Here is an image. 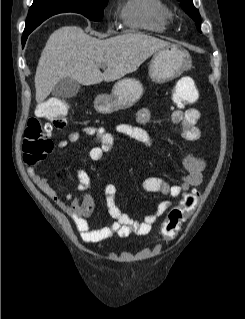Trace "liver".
I'll use <instances>...</instances> for the list:
<instances>
[{
    "instance_id": "liver-1",
    "label": "liver",
    "mask_w": 245,
    "mask_h": 319,
    "mask_svg": "<svg viewBox=\"0 0 245 319\" xmlns=\"http://www.w3.org/2000/svg\"><path fill=\"white\" fill-rule=\"evenodd\" d=\"M169 44L142 33L100 40L80 27H61L50 35L41 53L35 74L36 102L42 104L66 77L85 86L120 79ZM102 64L107 65L104 73L99 69Z\"/></svg>"
}]
</instances>
